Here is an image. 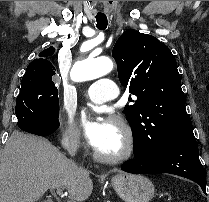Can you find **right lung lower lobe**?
I'll return each mask as SVG.
<instances>
[{
    "label": "right lung lower lobe",
    "mask_w": 209,
    "mask_h": 202,
    "mask_svg": "<svg viewBox=\"0 0 209 202\" xmlns=\"http://www.w3.org/2000/svg\"><path fill=\"white\" fill-rule=\"evenodd\" d=\"M18 118V127L26 132L39 136H48L58 127V117L48 118L36 114H25Z\"/></svg>",
    "instance_id": "right-lung-lower-lobe-1"
}]
</instances>
